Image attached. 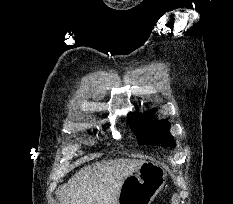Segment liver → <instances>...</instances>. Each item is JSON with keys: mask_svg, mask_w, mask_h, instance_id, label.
Here are the masks:
<instances>
[{"mask_svg": "<svg viewBox=\"0 0 233 204\" xmlns=\"http://www.w3.org/2000/svg\"><path fill=\"white\" fill-rule=\"evenodd\" d=\"M142 163V160L115 159L81 168L68 181L62 204H117L124 180Z\"/></svg>", "mask_w": 233, "mask_h": 204, "instance_id": "1", "label": "liver"}]
</instances>
